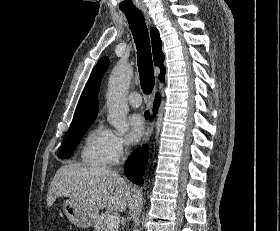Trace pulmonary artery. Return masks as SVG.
<instances>
[{
    "instance_id": "pulmonary-artery-1",
    "label": "pulmonary artery",
    "mask_w": 280,
    "mask_h": 231,
    "mask_svg": "<svg viewBox=\"0 0 280 231\" xmlns=\"http://www.w3.org/2000/svg\"><path fill=\"white\" fill-rule=\"evenodd\" d=\"M129 104L133 107H139L142 103L141 96L138 92H132L127 98Z\"/></svg>"
}]
</instances>
